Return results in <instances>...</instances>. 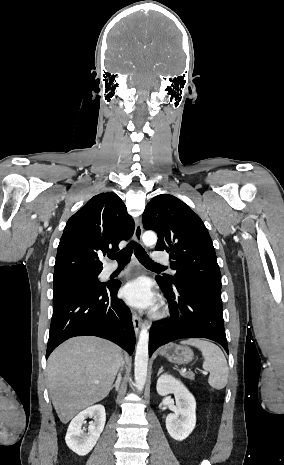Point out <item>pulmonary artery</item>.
Returning a JSON list of instances; mask_svg holds the SVG:
<instances>
[{"label":"pulmonary artery","instance_id":"e3ab8cb5","mask_svg":"<svg viewBox=\"0 0 284 465\" xmlns=\"http://www.w3.org/2000/svg\"><path fill=\"white\" fill-rule=\"evenodd\" d=\"M170 257L168 254H163L162 250H153L152 251V261L154 263H168ZM117 269V266H111L106 269V272L112 273Z\"/></svg>","mask_w":284,"mask_h":465}]
</instances>
